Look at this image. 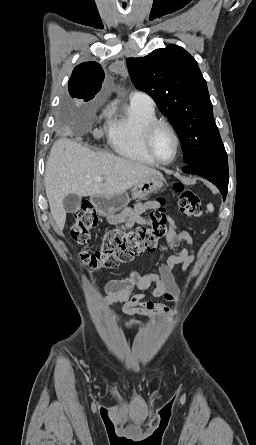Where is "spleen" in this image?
Masks as SVG:
<instances>
[{
	"label": "spleen",
	"mask_w": 256,
	"mask_h": 445,
	"mask_svg": "<svg viewBox=\"0 0 256 445\" xmlns=\"http://www.w3.org/2000/svg\"><path fill=\"white\" fill-rule=\"evenodd\" d=\"M207 209H208V211H210V212H213V211H214V207H213V205H212L211 203L207 205Z\"/></svg>",
	"instance_id": "spleen-1"
}]
</instances>
